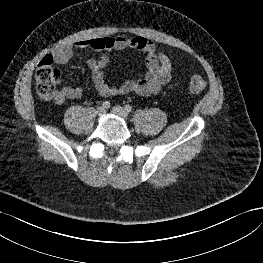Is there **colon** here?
<instances>
[{"instance_id": "obj_1", "label": "colon", "mask_w": 263, "mask_h": 263, "mask_svg": "<svg viewBox=\"0 0 263 263\" xmlns=\"http://www.w3.org/2000/svg\"><path fill=\"white\" fill-rule=\"evenodd\" d=\"M59 70L53 65V59L50 55L45 56L40 61L35 73V85L38 94L45 99L54 98L59 82ZM205 81L202 77L195 75L189 81V89L193 93H198L204 90Z\"/></svg>"}]
</instances>
